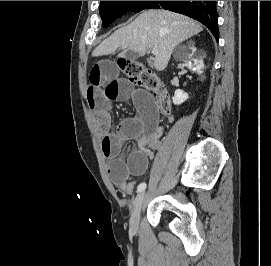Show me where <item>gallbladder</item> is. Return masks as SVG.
<instances>
[{
    "instance_id": "1",
    "label": "gallbladder",
    "mask_w": 271,
    "mask_h": 266,
    "mask_svg": "<svg viewBox=\"0 0 271 266\" xmlns=\"http://www.w3.org/2000/svg\"><path fill=\"white\" fill-rule=\"evenodd\" d=\"M125 57L128 58V59L135 58L134 53L132 51L126 52Z\"/></svg>"
}]
</instances>
